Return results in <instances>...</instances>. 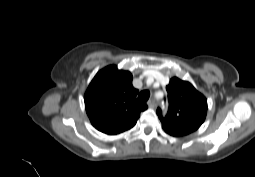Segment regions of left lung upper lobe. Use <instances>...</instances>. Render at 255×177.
<instances>
[{
	"mask_svg": "<svg viewBox=\"0 0 255 177\" xmlns=\"http://www.w3.org/2000/svg\"><path fill=\"white\" fill-rule=\"evenodd\" d=\"M169 109L166 116L158 108L157 115L163 129L175 137L196 131L207 114V99L191 83L177 77L166 86Z\"/></svg>",
	"mask_w": 255,
	"mask_h": 177,
	"instance_id": "obj_1",
	"label": "left lung upper lobe"
}]
</instances>
